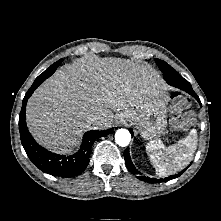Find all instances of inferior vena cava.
<instances>
[{
    "label": "inferior vena cava",
    "mask_w": 221,
    "mask_h": 221,
    "mask_svg": "<svg viewBox=\"0 0 221 221\" xmlns=\"http://www.w3.org/2000/svg\"><path fill=\"white\" fill-rule=\"evenodd\" d=\"M99 121V118L97 116H91L88 118L87 123L88 124H95Z\"/></svg>",
    "instance_id": "602c4592"
}]
</instances>
